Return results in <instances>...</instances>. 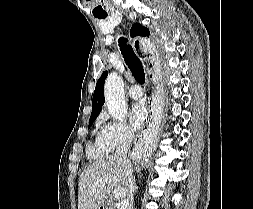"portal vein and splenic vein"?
<instances>
[{
    "label": "portal vein and splenic vein",
    "instance_id": "1",
    "mask_svg": "<svg viewBox=\"0 0 253 209\" xmlns=\"http://www.w3.org/2000/svg\"><path fill=\"white\" fill-rule=\"evenodd\" d=\"M119 192H120V189H119V188H117V189L114 190V193H115V194H119ZM128 207H129V200H128V199L122 200L119 209H127Z\"/></svg>",
    "mask_w": 253,
    "mask_h": 209
}]
</instances>
